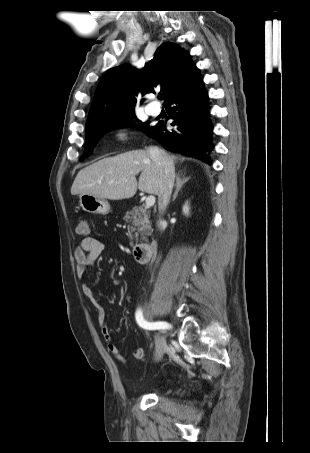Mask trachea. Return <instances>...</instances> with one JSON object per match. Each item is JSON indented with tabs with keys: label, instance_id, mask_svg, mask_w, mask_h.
I'll return each mask as SVG.
<instances>
[{
	"label": "trachea",
	"instance_id": "trachea-1",
	"mask_svg": "<svg viewBox=\"0 0 310 453\" xmlns=\"http://www.w3.org/2000/svg\"><path fill=\"white\" fill-rule=\"evenodd\" d=\"M162 98H163L162 94H159L158 99L162 100Z\"/></svg>",
	"mask_w": 310,
	"mask_h": 453
}]
</instances>
